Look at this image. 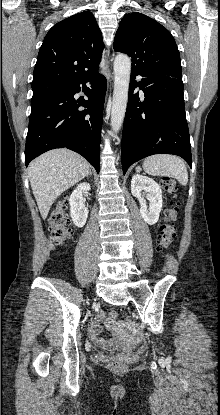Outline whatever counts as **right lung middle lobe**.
Listing matches in <instances>:
<instances>
[{"label":"right lung middle lobe","mask_w":220,"mask_h":415,"mask_svg":"<svg viewBox=\"0 0 220 415\" xmlns=\"http://www.w3.org/2000/svg\"><path fill=\"white\" fill-rule=\"evenodd\" d=\"M68 86V83L47 81L32 84L33 96L31 104L34 105L46 99L60 95Z\"/></svg>","instance_id":"1"}]
</instances>
